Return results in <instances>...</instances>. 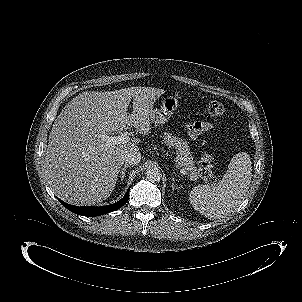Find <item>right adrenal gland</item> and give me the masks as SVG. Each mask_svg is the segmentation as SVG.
Here are the masks:
<instances>
[{"label":"right adrenal gland","mask_w":302,"mask_h":302,"mask_svg":"<svg viewBox=\"0 0 302 302\" xmlns=\"http://www.w3.org/2000/svg\"><path fill=\"white\" fill-rule=\"evenodd\" d=\"M129 167V165H124V167L120 170V177H121V181H123L124 177H125V173H126V169Z\"/></svg>","instance_id":"1"}]
</instances>
